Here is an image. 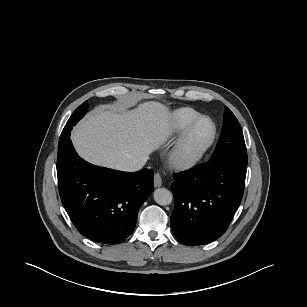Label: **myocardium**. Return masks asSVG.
Instances as JSON below:
<instances>
[{"mask_svg": "<svg viewBox=\"0 0 307 307\" xmlns=\"http://www.w3.org/2000/svg\"><path fill=\"white\" fill-rule=\"evenodd\" d=\"M207 120L212 124L213 132L208 140V142L201 147L199 150L187 153V145L190 140V137L196 128V126L204 121ZM218 134L217 125L214 120L208 116H199L193 122H191L186 129L182 132L181 136L173 146L172 150L169 154V162L170 164L177 169L185 170L195 166L199 163L202 158L206 155V153L210 150L213 146Z\"/></svg>", "mask_w": 307, "mask_h": 307, "instance_id": "1", "label": "myocardium"}]
</instances>
